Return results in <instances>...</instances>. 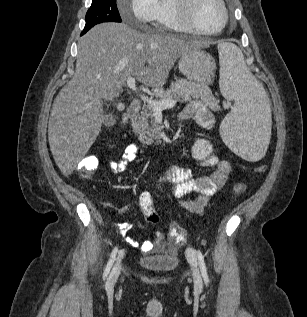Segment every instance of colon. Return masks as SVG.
<instances>
[{
	"label": "colon",
	"instance_id": "5ec220e1",
	"mask_svg": "<svg viewBox=\"0 0 307 317\" xmlns=\"http://www.w3.org/2000/svg\"><path fill=\"white\" fill-rule=\"evenodd\" d=\"M121 127L127 125L126 117H122L119 122ZM98 168V158L94 155H88L84 157L77 166V170L87 176H92L95 174ZM266 169L265 165H259L256 168V172L262 173ZM247 189L245 183L239 182L233 186V193L235 195H240L244 193ZM140 208L145 217V219L150 223H157L159 221V215L154 207L153 198L150 193L143 192L140 195ZM169 234L174 237L177 241L183 242L186 239L187 233L185 230L180 228L177 224L173 223L170 226Z\"/></svg>",
	"mask_w": 307,
	"mask_h": 317
}]
</instances>
